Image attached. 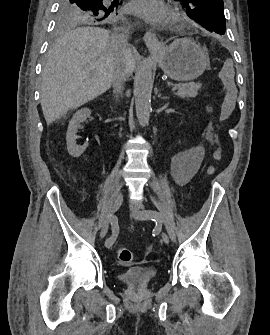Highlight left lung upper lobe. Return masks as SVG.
<instances>
[{"label": "left lung upper lobe", "mask_w": 270, "mask_h": 335, "mask_svg": "<svg viewBox=\"0 0 270 335\" xmlns=\"http://www.w3.org/2000/svg\"><path fill=\"white\" fill-rule=\"evenodd\" d=\"M187 15L207 31L224 34L226 30L223 0H179Z\"/></svg>", "instance_id": "obj_1"}]
</instances>
